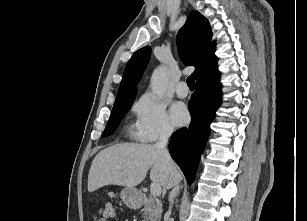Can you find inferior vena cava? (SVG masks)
I'll return each instance as SVG.
<instances>
[{
	"mask_svg": "<svg viewBox=\"0 0 307 221\" xmlns=\"http://www.w3.org/2000/svg\"><path fill=\"white\" fill-rule=\"evenodd\" d=\"M172 133V128L170 126H164L161 134H160V138L159 141L156 144V147L162 152V154L164 155V158L166 160V163L168 164V166H172L173 165V160L166 148V145L168 143V139L170 137ZM179 193V185L175 184L173 186V189L171 190L170 194H169V201L170 203H173V198H175ZM168 213H171V206L170 209L168 211Z\"/></svg>",
	"mask_w": 307,
	"mask_h": 221,
	"instance_id": "602c4592",
	"label": "inferior vena cava"
}]
</instances>
